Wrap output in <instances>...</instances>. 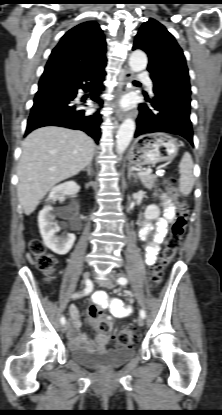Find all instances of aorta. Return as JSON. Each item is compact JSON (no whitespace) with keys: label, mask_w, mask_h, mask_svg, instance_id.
<instances>
[{"label":"aorta","mask_w":222,"mask_h":415,"mask_svg":"<svg viewBox=\"0 0 222 415\" xmlns=\"http://www.w3.org/2000/svg\"><path fill=\"white\" fill-rule=\"evenodd\" d=\"M147 56L141 50L132 52L129 58V66L133 72H140L147 67ZM135 131V122L132 118H127L120 125L117 132L116 150L118 153H123L130 144Z\"/></svg>","instance_id":"1"}]
</instances>
